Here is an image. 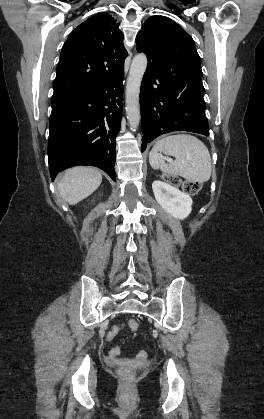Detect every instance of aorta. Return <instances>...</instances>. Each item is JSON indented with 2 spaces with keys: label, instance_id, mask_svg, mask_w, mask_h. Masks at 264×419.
I'll use <instances>...</instances> for the list:
<instances>
[{
  "label": "aorta",
  "instance_id": "obj_1",
  "mask_svg": "<svg viewBox=\"0 0 264 419\" xmlns=\"http://www.w3.org/2000/svg\"><path fill=\"white\" fill-rule=\"evenodd\" d=\"M146 67L145 54L140 53L133 58L126 86V112L131 129H136L140 122L139 93Z\"/></svg>",
  "mask_w": 264,
  "mask_h": 419
}]
</instances>
